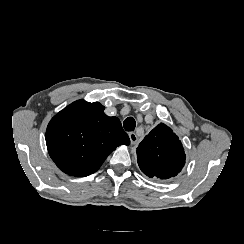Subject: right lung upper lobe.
Segmentation results:
<instances>
[{"mask_svg": "<svg viewBox=\"0 0 244 244\" xmlns=\"http://www.w3.org/2000/svg\"><path fill=\"white\" fill-rule=\"evenodd\" d=\"M98 102L78 100L56 114L46 130L50 157L63 172L85 177L97 171L116 147L130 144L117 117Z\"/></svg>", "mask_w": 244, "mask_h": 244, "instance_id": "obj_1", "label": "right lung upper lobe"}]
</instances>
